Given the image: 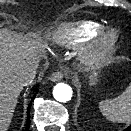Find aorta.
<instances>
[{"label": "aorta", "mask_w": 131, "mask_h": 131, "mask_svg": "<svg viewBox=\"0 0 131 131\" xmlns=\"http://www.w3.org/2000/svg\"><path fill=\"white\" fill-rule=\"evenodd\" d=\"M53 96L59 102H67L72 97V89L65 83H58L53 88Z\"/></svg>", "instance_id": "1"}]
</instances>
